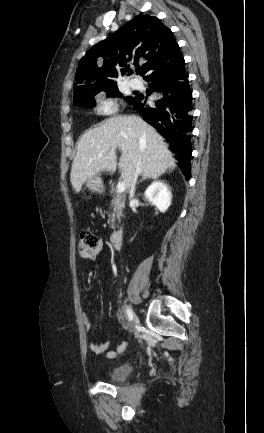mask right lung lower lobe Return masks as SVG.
Segmentation results:
<instances>
[{
  "label": "right lung lower lobe",
  "instance_id": "98d812e1",
  "mask_svg": "<svg viewBox=\"0 0 264 433\" xmlns=\"http://www.w3.org/2000/svg\"><path fill=\"white\" fill-rule=\"evenodd\" d=\"M144 79L158 97L149 103L148 97L136 94L130 104L142 114L143 119L155 127L177 155L178 165L185 178L190 179L192 93L189 87L185 62L180 54L155 67Z\"/></svg>",
  "mask_w": 264,
  "mask_h": 433
}]
</instances>
